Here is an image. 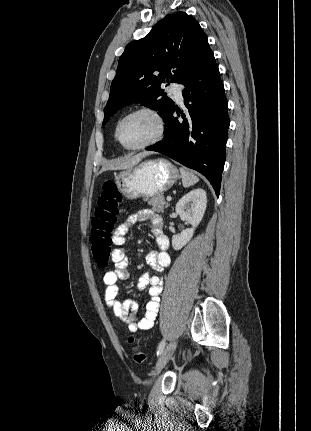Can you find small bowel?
I'll return each instance as SVG.
<instances>
[{
    "label": "small bowel",
    "mask_w": 311,
    "mask_h": 431,
    "mask_svg": "<svg viewBox=\"0 0 311 431\" xmlns=\"http://www.w3.org/2000/svg\"><path fill=\"white\" fill-rule=\"evenodd\" d=\"M150 221L151 233L155 239L157 250H151L146 256V262L150 269L156 272H163L170 264L168 254L169 239L163 231V218L160 214L150 210L141 209L136 213L129 215L116 229L113 242L115 249L112 253V260L115 269L108 271L104 275L105 302L112 310L115 317L125 323L131 332L138 330H148L153 327L158 316L160 307V295L163 285L158 276L145 273L138 281V288L145 289L149 287L150 301L147 303L145 315L142 318L137 316V304L130 300H120L118 280L129 277L128 259L126 256L124 244L125 236L129 229L138 222Z\"/></svg>",
    "instance_id": "small-bowel-1"
}]
</instances>
